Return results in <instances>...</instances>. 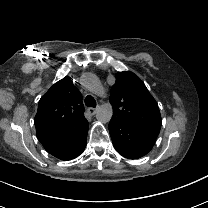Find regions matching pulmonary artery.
<instances>
[{
    "label": "pulmonary artery",
    "mask_w": 208,
    "mask_h": 208,
    "mask_svg": "<svg viewBox=\"0 0 208 208\" xmlns=\"http://www.w3.org/2000/svg\"><path fill=\"white\" fill-rule=\"evenodd\" d=\"M82 80L91 82V79H82ZM94 91L95 92H101V91H103V87L101 85H96L95 88H94Z\"/></svg>",
    "instance_id": "1"
}]
</instances>
